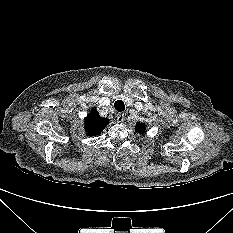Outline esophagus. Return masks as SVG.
<instances>
[{
  "label": "esophagus",
  "instance_id": "obj_1",
  "mask_svg": "<svg viewBox=\"0 0 233 233\" xmlns=\"http://www.w3.org/2000/svg\"><path fill=\"white\" fill-rule=\"evenodd\" d=\"M116 120L118 123H121L125 120V116L123 113H118L117 116H116Z\"/></svg>",
  "mask_w": 233,
  "mask_h": 233
}]
</instances>
